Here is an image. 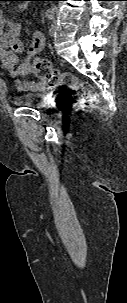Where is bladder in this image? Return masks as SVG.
<instances>
[{"label":"bladder","instance_id":"bladder-1","mask_svg":"<svg viewBox=\"0 0 127 303\" xmlns=\"http://www.w3.org/2000/svg\"><path fill=\"white\" fill-rule=\"evenodd\" d=\"M13 101L16 105L22 107L44 109L47 106L44 100L42 99V95L37 93L22 94L18 97H15Z\"/></svg>","mask_w":127,"mask_h":303}]
</instances>
